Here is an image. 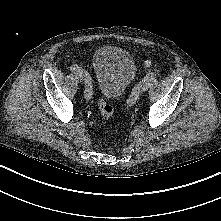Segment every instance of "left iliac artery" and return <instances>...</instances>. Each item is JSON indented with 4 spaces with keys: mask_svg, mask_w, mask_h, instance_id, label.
<instances>
[{
    "mask_svg": "<svg viewBox=\"0 0 221 221\" xmlns=\"http://www.w3.org/2000/svg\"><path fill=\"white\" fill-rule=\"evenodd\" d=\"M156 77L154 73H149L145 76L144 81H151ZM138 88H135L130 98L127 100V105L131 106L135 103L137 99Z\"/></svg>",
    "mask_w": 221,
    "mask_h": 221,
    "instance_id": "44dca946",
    "label": "left iliac artery"
}]
</instances>
